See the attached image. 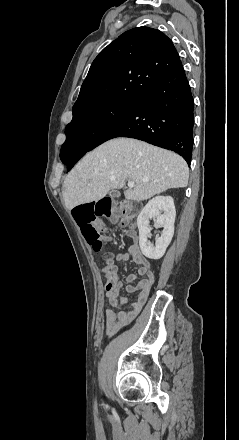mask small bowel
Masks as SVG:
<instances>
[{
  "instance_id": "small-bowel-1",
  "label": "small bowel",
  "mask_w": 239,
  "mask_h": 440,
  "mask_svg": "<svg viewBox=\"0 0 239 440\" xmlns=\"http://www.w3.org/2000/svg\"><path fill=\"white\" fill-rule=\"evenodd\" d=\"M129 258L139 268L136 274L127 276L125 290L129 294H135L136 298L127 310H121V307L127 304V298L120 295L122 282L119 280L117 272L113 277H107L106 298L112 307L105 311V331L109 336L129 324L139 314L154 282V271L137 245H131L127 252L115 256L119 262L127 261Z\"/></svg>"
}]
</instances>
